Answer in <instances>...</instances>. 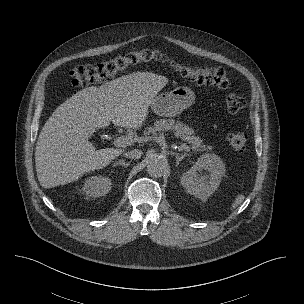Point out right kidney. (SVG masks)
Here are the masks:
<instances>
[{
    "label": "right kidney",
    "instance_id": "obj_1",
    "mask_svg": "<svg viewBox=\"0 0 304 304\" xmlns=\"http://www.w3.org/2000/svg\"><path fill=\"white\" fill-rule=\"evenodd\" d=\"M111 185L109 177L95 175L85 179L82 190L90 197H100L111 190Z\"/></svg>",
    "mask_w": 304,
    "mask_h": 304
}]
</instances>
